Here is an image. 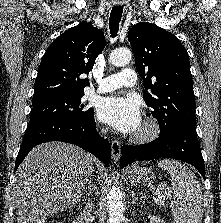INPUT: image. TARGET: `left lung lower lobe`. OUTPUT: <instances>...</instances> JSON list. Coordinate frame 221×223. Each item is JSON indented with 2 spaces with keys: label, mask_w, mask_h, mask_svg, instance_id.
I'll return each mask as SVG.
<instances>
[{
  "label": "left lung lower lobe",
  "mask_w": 221,
  "mask_h": 223,
  "mask_svg": "<svg viewBox=\"0 0 221 223\" xmlns=\"http://www.w3.org/2000/svg\"><path fill=\"white\" fill-rule=\"evenodd\" d=\"M121 152L120 168L136 160L175 158L193 165L205 179V165L195 125L178 124L150 143L124 145Z\"/></svg>",
  "instance_id": "left-lung-lower-lobe-1"
}]
</instances>
